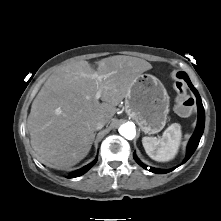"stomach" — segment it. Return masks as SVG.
<instances>
[{
	"mask_svg": "<svg viewBox=\"0 0 221 221\" xmlns=\"http://www.w3.org/2000/svg\"><path fill=\"white\" fill-rule=\"evenodd\" d=\"M125 109L145 134H156L166 124L169 96L158 78L140 74L125 97Z\"/></svg>",
	"mask_w": 221,
	"mask_h": 221,
	"instance_id": "stomach-1",
	"label": "stomach"
}]
</instances>
